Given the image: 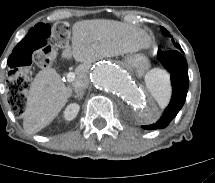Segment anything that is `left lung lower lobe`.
<instances>
[{
  "label": "left lung lower lobe",
  "mask_w": 215,
  "mask_h": 183,
  "mask_svg": "<svg viewBox=\"0 0 215 183\" xmlns=\"http://www.w3.org/2000/svg\"><path fill=\"white\" fill-rule=\"evenodd\" d=\"M180 51H158V59L170 73L172 98L159 121L152 125L142 126L143 129L153 130L165 128L175 118L185 103L189 85L188 66Z\"/></svg>",
  "instance_id": "0a47b994"
}]
</instances>
